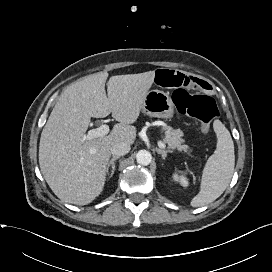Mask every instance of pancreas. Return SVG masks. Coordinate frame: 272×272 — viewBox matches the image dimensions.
I'll list each match as a JSON object with an SVG mask.
<instances>
[{"label": "pancreas", "mask_w": 272, "mask_h": 272, "mask_svg": "<svg viewBox=\"0 0 272 272\" xmlns=\"http://www.w3.org/2000/svg\"><path fill=\"white\" fill-rule=\"evenodd\" d=\"M165 137L163 141L169 146L171 149H177L178 151H184L186 153H191L192 149L185 145V140L182 139L183 132L180 129H173L171 127H165Z\"/></svg>", "instance_id": "1"}]
</instances>
